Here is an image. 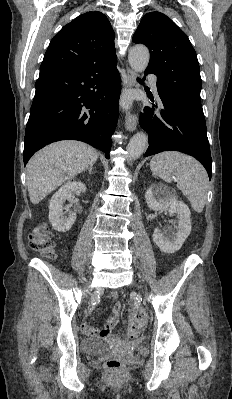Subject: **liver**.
<instances>
[{
	"mask_svg": "<svg viewBox=\"0 0 232 399\" xmlns=\"http://www.w3.org/2000/svg\"><path fill=\"white\" fill-rule=\"evenodd\" d=\"M98 160L94 148L82 142H55L36 152L27 164V186L32 203H39L67 180Z\"/></svg>",
	"mask_w": 232,
	"mask_h": 399,
	"instance_id": "obj_1",
	"label": "liver"
}]
</instances>
